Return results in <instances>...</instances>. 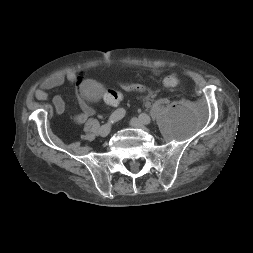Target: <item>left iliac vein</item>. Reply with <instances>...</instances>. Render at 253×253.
I'll return each instance as SVG.
<instances>
[{"instance_id":"obj_1","label":"left iliac vein","mask_w":253,"mask_h":253,"mask_svg":"<svg viewBox=\"0 0 253 253\" xmlns=\"http://www.w3.org/2000/svg\"><path fill=\"white\" fill-rule=\"evenodd\" d=\"M148 121L147 122H144L142 121L141 119H138V118H132L130 120V125L132 127H135V128H139V129H146V125L149 124L151 122V118L148 117L147 119Z\"/></svg>"}]
</instances>
